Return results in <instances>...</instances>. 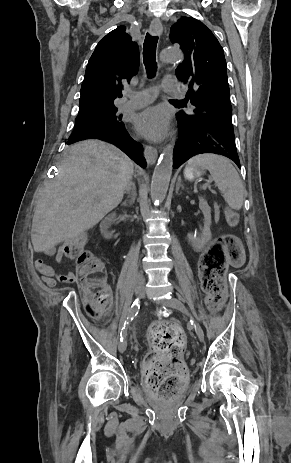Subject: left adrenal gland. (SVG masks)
I'll return each mask as SVG.
<instances>
[{
    "label": "left adrenal gland",
    "instance_id": "1",
    "mask_svg": "<svg viewBox=\"0 0 291 463\" xmlns=\"http://www.w3.org/2000/svg\"><path fill=\"white\" fill-rule=\"evenodd\" d=\"M180 187H182V185H181V178L178 179V182H177V184H176V194H178V191H179Z\"/></svg>",
    "mask_w": 291,
    "mask_h": 463
}]
</instances>
